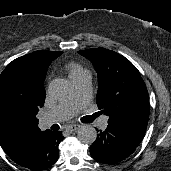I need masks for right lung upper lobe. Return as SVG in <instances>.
Wrapping results in <instances>:
<instances>
[{
  "instance_id": "cb5924a9",
  "label": "right lung upper lobe",
  "mask_w": 171,
  "mask_h": 171,
  "mask_svg": "<svg viewBox=\"0 0 171 171\" xmlns=\"http://www.w3.org/2000/svg\"><path fill=\"white\" fill-rule=\"evenodd\" d=\"M63 52L35 51L13 60L11 63L19 67L24 77L29 82L39 108L45 101L43 82L51 62ZM43 132L38 125L20 134L0 133V145L6 154L13 160L20 159L33 145L34 141Z\"/></svg>"
}]
</instances>
